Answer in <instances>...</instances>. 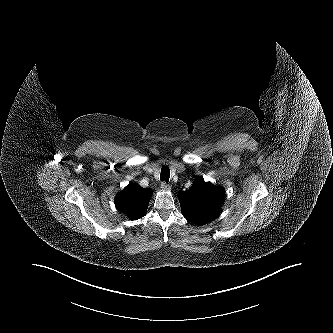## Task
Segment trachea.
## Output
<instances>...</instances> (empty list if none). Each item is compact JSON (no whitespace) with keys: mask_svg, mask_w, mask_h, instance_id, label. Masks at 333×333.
Wrapping results in <instances>:
<instances>
[{"mask_svg":"<svg viewBox=\"0 0 333 333\" xmlns=\"http://www.w3.org/2000/svg\"><path fill=\"white\" fill-rule=\"evenodd\" d=\"M170 177V170L168 166H163L161 169L160 179L168 183Z\"/></svg>","mask_w":333,"mask_h":333,"instance_id":"1","label":"trachea"}]
</instances>
